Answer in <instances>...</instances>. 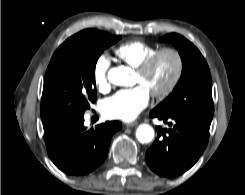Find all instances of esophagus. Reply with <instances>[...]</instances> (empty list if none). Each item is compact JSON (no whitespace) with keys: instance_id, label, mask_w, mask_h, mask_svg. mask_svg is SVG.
Returning a JSON list of instances; mask_svg holds the SVG:
<instances>
[{"instance_id":"esophagus-1","label":"esophagus","mask_w":245,"mask_h":195,"mask_svg":"<svg viewBox=\"0 0 245 195\" xmlns=\"http://www.w3.org/2000/svg\"><path fill=\"white\" fill-rule=\"evenodd\" d=\"M138 123L137 122H131V123H126L125 126L126 127H134L136 126Z\"/></svg>"}]
</instances>
